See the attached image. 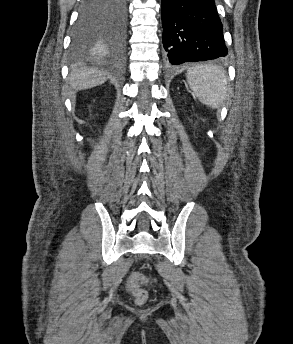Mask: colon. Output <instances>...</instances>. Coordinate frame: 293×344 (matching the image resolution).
Returning a JSON list of instances; mask_svg holds the SVG:
<instances>
[{
    "instance_id": "5ec220e1",
    "label": "colon",
    "mask_w": 293,
    "mask_h": 344,
    "mask_svg": "<svg viewBox=\"0 0 293 344\" xmlns=\"http://www.w3.org/2000/svg\"><path fill=\"white\" fill-rule=\"evenodd\" d=\"M143 276L139 273H134L130 276L128 288L133 294L137 304H144L148 299V292L140 286Z\"/></svg>"
}]
</instances>
